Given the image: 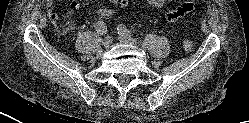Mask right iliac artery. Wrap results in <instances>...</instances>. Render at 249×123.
I'll return each mask as SVG.
<instances>
[{
    "label": "right iliac artery",
    "instance_id": "82829eb1",
    "mask_svg": "<svg viewBox=\"0 0 249 123\" xmlns=\"http://www.w3.org/2000/svg\"><path fill=\"white\" fill-rule=\"evenodd\" d=\"M96 30L100 33V34H105L107 32V26L103 21H99L96 24Z\"/></svg>",
    "mask_w": 249,
    "mask_h": 123
}]
</instances>
